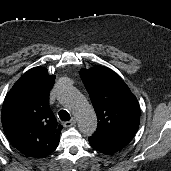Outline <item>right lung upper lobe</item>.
<instances>
[{
  "label": "right lung upper lobe",
  "instance_id": "1",
  "mask_svg": "<svg viewBox=\"0 0 171 171\" xmlns=\"http://www.w3.org/2000/svg\"><path fill=\"white\" fill-rule=\"evenodd\" d=\"M54 78L44 67L32 68L18 79L5 97L4 132L13 146L26 156L45 157L59 144L62 126L57 125L47 99Z\"/></svg>",
  "mask_w": 171,
  "mask_h": 171
}]
</instances>
